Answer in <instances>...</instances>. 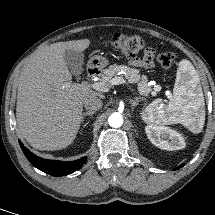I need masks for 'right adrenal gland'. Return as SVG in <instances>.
I'll return each mask as SVG.
<instances>
[{"mask_svg": "<svg viewBox=\"0 0 215 215\" xmlns=\"http://www.w3.org/2000/svg\"><path fill=\"white\" fill-rule=\"evenodd\" d=\"M95 112L94 111H92V112H85V113H83L82 114V124L84 123V118L86 117V116H90V117H92L93 116V114H94Z\"/></svg>", "mask_w": 215, "mask_h": 215, "instance_id": "right-adrenal-gland-1", "label": "right adrenal gland"}]
</instances>
